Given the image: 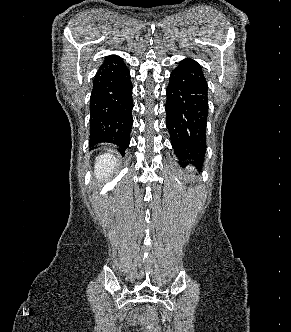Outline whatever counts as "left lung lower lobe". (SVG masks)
<instances>
[{"label":"left lung lower lobe","mask_w":291,"mask_h":332,"mask_svg":"<svg viewBox=\"0 0 291 332\" xmlns=\"http://www.w3.org/2000/svg\"><path fill=\"white\" fill-rule=\"evenodd\" d=\"M166 126L176 156L192 159L199 166L206 153L208 85L202 67L186 58L172 71L166 90ZM189 144L191 152L181 149Z\"/></svg>","instance_id":"obj_1"}]
</instances>
